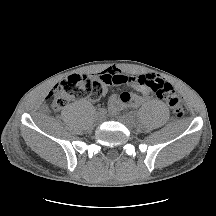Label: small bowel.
<instances>
[{
  "instance_id": "1",
  "label": "small bowel",
  "mask_w": 216,
  "mask_h": 216,
  "mask_svg": "<svg viewBox=\"0 0 216 216\" xmlns=\"http://www.w3.org/2000/svg\"><path fill=\"white\" fill-rule=\"evenodd\" d=\"M98 79L102 83V96H105L109 92V87L113 85H128L133 88L137 93L133 92L130 107H138L145 103L151 97V90L144 84L149 78H160L156 75H140L131 76L127 73L117 69L108 68L97 75ZM121 104H117L116 97L110 99V107L112 110H116Z\"/></svg>"
}]
</instances>
